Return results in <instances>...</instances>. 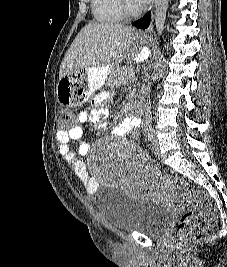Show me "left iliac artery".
Masks as SVG:
<instances>
[{"instance_id": "1", "label": "left iliac artery", "mask_w": 227, "mask_h": 267, "mask_svg": "<svg viewBox=\"0 0 227 267\" xmlns=\"http://www.w3.org/2000/svg\"><path fill=\"white\" fill-rule=\"evenodd\" d=\"M147 137H148V140H151V138L153 137V130H148L147 132Z\"/></svg>"}]
</instances>
